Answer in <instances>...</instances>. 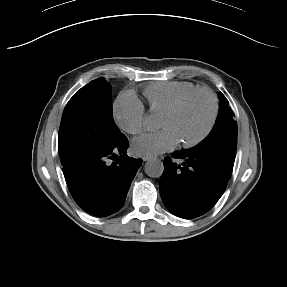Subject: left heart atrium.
I'll return each instance as SVG.
<instances>
[{
  "mask_svg": "<svg viewBox=\"0 0 287 287\" xmlns=\"http://www.w3.org/2000/svg\"><path fill=\"white\" fill-rule=\"evenodd\" d=\"M179 143L175 132L170 128L144 134L133 141L135 152L146 156H155L165 151L173 149Z\"/></svg>",
  "mask_w": 287,
  "mask_h": 287,
  "instance_id": "1",
  "label": "left heart atrium"
}]
</instances>
